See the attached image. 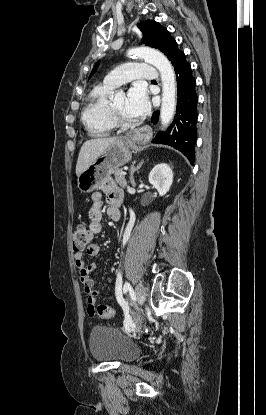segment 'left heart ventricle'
Wrapping results in <instances>:
<instances>
[{
	"label": "left heart ventricle",
	"instance_id": "obj_1",
	"mask_svg": "<svg viewBox=\"0 0 266 415\" xmlns=\"http://www.w3.org/2000/svg\"><path fill=\"white\" fill-rule=\"evenodd\" d=\"M126 100L127 97L125 94L118 95L115 100L113 101V104L115 108L128 120H135L134 117H132L128 112L126 111Z\"/></svg>",
	"mask_w": 266,
	"mask_h": 415
}]
</instances>
